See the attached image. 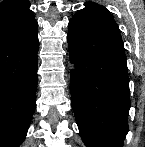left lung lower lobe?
Here are the masks:
<instances>
[{"label": "left lung lower lobe", "instance_id": "1", "mask_svg": "<svg viewBox=\"0 0 145 147\" xmlns=\"http://www.w3.org/2000/svg\"><path fill=\"white\" fill-rule=\"evenodd\" d=\"M71 103L87 147H123L128 132L129 78L120 30L110 12L85 3L69 22Z\"/></svg>", "mask_w": 145, "mask_h": 147}]
</instances>
